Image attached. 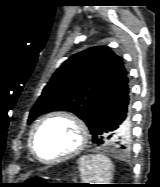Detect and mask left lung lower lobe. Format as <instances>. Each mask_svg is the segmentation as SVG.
Instances as JSON below:
<instances>
[{
    "instance_id": "obj_1",
    "label": "left lung lower lobe",
    "mask_w": 160,
    "mask_h": 187,
    "mask_svg": "<svg viewBox=\"0 0 160 187\" xmlns=\"http://www.w3.org/2000/svg\"><path fill=\"white\" fill-rule=\"evenodd\" d=\"M123 125H127L126 130L117 135V130ZM129 129V86L126 84L110 97L99 111L94 126L90 130L92 142L99 147L124 149L123 143Z\"/></svg>"
}]
</instances>
